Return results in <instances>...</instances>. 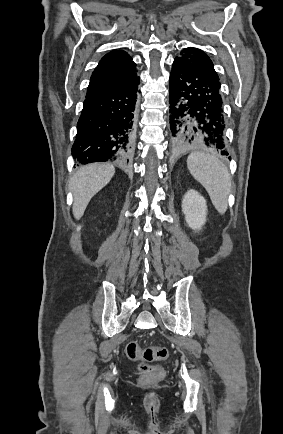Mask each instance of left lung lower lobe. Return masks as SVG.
<instances>
[{
    "instance_id": "left-lung-lower-lobe-1",
    "label": "left lung lower lobe",
    "mask_w": 283,
    "mask_h": 434,
    "mask_svg": "<svg viewBox=\"0 0 283 434\" xmlns=\"http://www.w3.org/2000/svg\"><path fill=\"white\" fill-rule=\"evenodd\" d=\"M220 88L219 78L175 58L169 89L170 129L175 147H200L228 155Z\"/></svg>"
}]
</instances>
